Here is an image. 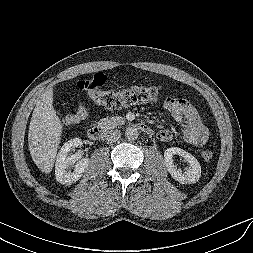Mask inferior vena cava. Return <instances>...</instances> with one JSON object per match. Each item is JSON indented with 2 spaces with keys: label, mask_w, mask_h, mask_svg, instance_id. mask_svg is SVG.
<instances>
[{
  "label": "inferior vena cava",
  "mask_w": 253,
  "mask_h": 253,
  "mask_svg": "<svg viewBox=\"0 0 253 253\" xmlns=\"http://www.w3.org/2000/svg\"><path fill=\"white\" fill-rule=\"evenodd\" d=\"M121 137L120 130L110 129L104 133V139L108 143L116 142Z\"/></svg>",
  "instance_id": "1"
}]
</instances>
